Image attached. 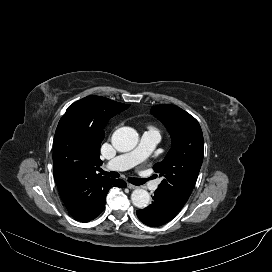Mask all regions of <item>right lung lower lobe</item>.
I'll use <instances>...</instances> for the list:
<instances>
[{
  "mask_svg": "<svg viewBox=\"0 0 272 272\" xmlns=\"http://www.w3.org/2000/svg\"><path fill=\"white\" fill-rule=\"evenodd\" d=\"M112 187L125 188L126 187V182L121 180V179H112L110 188H112ZM105 199H106V195H105L104 199L101 201V203H100L99 207L97 208V210L90 216V218H88L84 222H88V221L96 218L103 211V209L105 207Z\"/></svg>",
  "mask_w": 272,
  "mask_h": 272,
  "instance_id": "right-lung-lower-lobe-1",
  "label": "right lung lower lobe"
}]
</instances>
